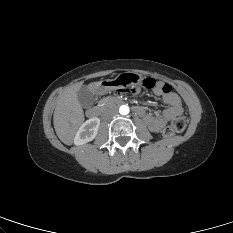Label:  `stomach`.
Returning a JSON list of instances; mask_svg holds the SVG:
<instances>
[{"instance_id":"1","label":"stomach","mask_w":233,"mask_h":233,"mask_svg":"<svg viewBox=\"0 0 233 233\" xmlns=\"http://www.w3.org/2000/svg\"><path fill=\"white\" fill-rule=\"evenodd\" d=\"M141 85V78L134 73L122 72L115 77H108L103 82L96 83V92L124 94L128 89H137Z\"/></svg>"}]
</instances>
